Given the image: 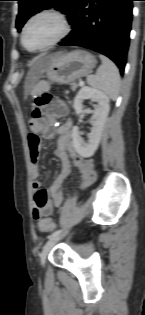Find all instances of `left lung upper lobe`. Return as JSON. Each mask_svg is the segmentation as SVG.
<instances>
[{"mask_svg":"<svg viewBox=\"0 0 145 315\" xmlns=\"http://www.w3.org/2000/svg\"><path fill=\"white\" fill-rule=\"evenodd\" d=\"M19 2V13L16 19L18 31L33 14L45 9L55 8L62 13L70 16L77 0H17Z\"/></svg>","mask_w":145,"mask_h":315,"instance_id":"obj_1","label":"left lung upper lobe"}]
</instances>
